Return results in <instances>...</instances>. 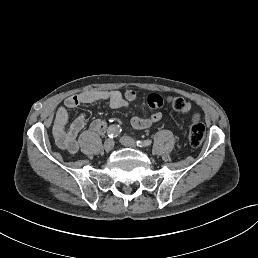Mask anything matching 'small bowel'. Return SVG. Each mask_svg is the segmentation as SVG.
Returning <instances> with one entry per match:
<instances>
[{
    "label": "small bowel",
    "instance_id": "c3829d8e",
    "mask_svg": "<svg viewBox=\"0 0 258 258\" xmlns=\"http://www.w3.org/2000/svg\"><path fill=\"white\" fill-rule=\"evenodd\" d=\"M136 98V92L131 89L123 93L118 90L92 89L69 96L65 99L63 105L57 109L53 120L52 133L57 146L73 154L79 150L78 136L85 126L86 118L84 114H80L68 125L69 109H73L81 104H91L99 101L108 102L112 108L128 109ZM162 105L163 99L160 95H149L147 98L149 115L145 117L133 115L131 117V127L135 130L145 129L160 121L162 113L159 109ZM189 109L190 104L187 103L182 113H187ZM197 118L198 116L195 114L194 119L196 120ZM89 128L91 132L102 135L107 129V123L104 120L96 119L90 123Z\"/></svg>",
    "mask_w": 258,
    "mask_h": 258
}]
</instances>
